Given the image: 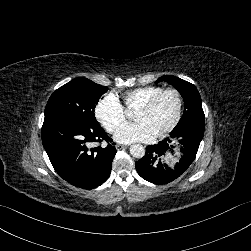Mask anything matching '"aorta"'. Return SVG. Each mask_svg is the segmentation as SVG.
I'll list each match as a JSON object with an SVG mask.
<instances>
[{
    "instance_id": "aorta-1",
    "label": "aorta",
    "mask_w": 251,
    "mask_h": 251,
    "mask_svg": "<svg viewBox=\"0 0 251 251\" xmlns=\"http://www.w3.org/2000/svg\"><path fill=\"white\" fill-rule=\"evenodd\" d=\"M129 151L132 156L137 158H141L145 154L144 147L138 143L131 145Z\"/></svg>"
}]
</instances>
